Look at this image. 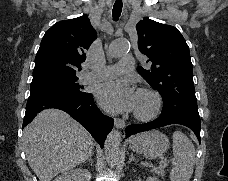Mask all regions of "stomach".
I'll list each match as a JSON object with an SVG mask.
<instances>
[{
	"instance_id": "0dacf381",
	"label": "stomach",
	"mask_w": 228,
	"mask_h": 181,
	"mask_svg": "<svg viewBox=\"0 0 228 181\" xmlns=\"http://www.w3.org/2000/svg\"><path fill=\"white\" fill-rule=\"evenodd\" d=\"M130 147L136 153H143L147 159H156L168 151L169 141L168 137L159 131H148L132 137Z\"/></svg>"
}]
</instances>
